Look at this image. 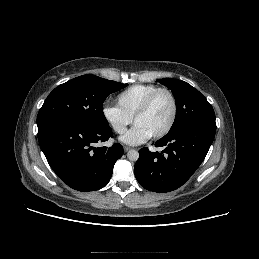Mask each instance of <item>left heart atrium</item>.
<instances>
[{
    "mask_svg": "<svg viewBox=\"0 0 259 259\" xmlns=\"http://www.w3.org/2000/svg\"><path fill=\"white\" fill-rule=\"evenodd\" d=\"M151 138V134L139 125H134L120 140L128 145H139Z\"/></svg>",
    "mask_w": 259,
    "mask_h": 259,
    "instance_id": "left-heart-atrium-1",
    "label": "left heart atrium"
}]
</instances>
